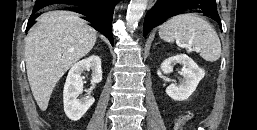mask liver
Returning <instances> with one entry per match:
<instances>
[{
  "instance_id": "1",
  "label": "liver",
  "mask_w": 257,
  "mask_h": 130,
  "mask_svg": "<svg viewBox=\"0 0 257 130\" xmlns=\"http://www.w3.org/2000/svg\"><path fill=\"white\" fill-rule=\"evenodd\" d=\"M97 32L78 14L50 11L37 19L25 42V62L32 94L42 111L59 79L96 43Z\"/></svg>"
}]
</instances>
